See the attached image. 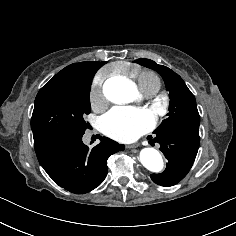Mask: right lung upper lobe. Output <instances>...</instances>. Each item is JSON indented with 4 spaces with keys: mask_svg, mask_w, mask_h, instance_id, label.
Here are the masks:
<instances>
[{
    "mask_svg": "<svg viewBox=\"0 0 236 236\" xmlns=\"http://www.w3.org/2000/svg\"><path fill=\"white\" fill-rule=\"evenodd\" d=\"M105 63L107 62L74 63L62 69L50 81L72 82L93 79L96 71Z\"/></svg>",
    "mask_w": 236,
    "mask_h": 236,
    "instance_id": "obj_1",
    "label": "right lung upper lobe"
}]
</instances>
